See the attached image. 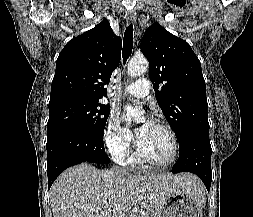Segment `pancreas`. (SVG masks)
<instances>
[{"label":"pancreas","instance_id":"pancreas-1","mask_svg":"<svg viewBox=\"0 0 253 217\" xmlns=\"http://www.w3.org/2000/svg\"><path fill=\"white\" fill-rule=\"evenodd\" d=\"M139 217H156V216H155V213H148L145 216H139Z\"/></svg>","mask_w":253,"mask_h":217}]
</instances>
